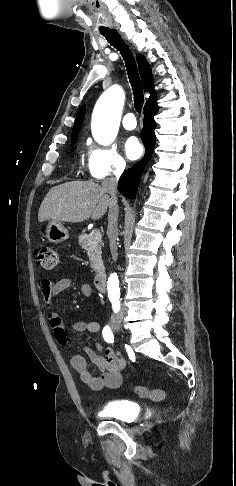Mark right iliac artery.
<instances>
[{
	"label": "right iliac artery",
	"mask_w": 236,
	"mask_h": 486,
	"mask_svg": "<svg viewBox=\"0 0 236 486\" xmlns=\"http://www.w3.org/2000/svg\"><path fill=\"white\" fill-rule=\"evenodd\" d=\"M112 304H113V309L115 312L118 311V304L115 302V301H112ZM103 337H104V340L108 343H113L114 342V335H113V332L111 330V328L107 325L104 327L103 329Z\"/></svg>",
	"instance_id": "right-iliac-artery-1"
}]
</instances>
